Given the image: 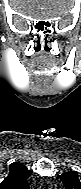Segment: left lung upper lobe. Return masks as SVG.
<instances>
[{
	"mask_svg": "<svg viewBox=\"0 0 81 189\" xmlns=\"http://www.w3.org/2000/svg\"><path fill=\"white\" fill-rule=\"evenodd\" d=\"M61 180L67 189H81V182L78 178V173L75 171L63 173Z\"/></svg>",
	"mask_w": 81,
	"mask_h": 189,
	"instance_id": "left-lung-upper-lobe-1",
	"label": "left lung upper lobe"
}]
</instances>
